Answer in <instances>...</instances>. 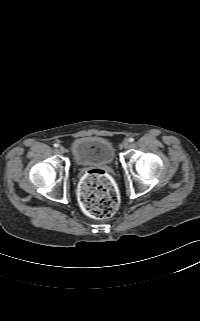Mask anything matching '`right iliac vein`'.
Instances as JSON below:
<instances>
[{
	"instance_id": "63e3f726",
	"label": "right iliac vein",
	"mask_w": 200,
	"mask_h": 321,
	"mask_svg": "<svg viewBox=\"0 0 200 321\" xmlns=\"http://www.w3.org/2000/svg\"><path fill=\"white\" fill-rule=\"evenodd\" d=\"M58 151L63 154L65 152V148L63 146H59Z\"/></svg>"
}]
</instances>
